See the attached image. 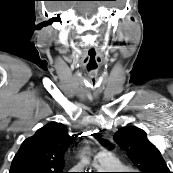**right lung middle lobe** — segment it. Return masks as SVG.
I'll use <instances>...</instances> for the list:
<instances>
[{
  "label": "right lung middle lobe",
  "instance_id": "right-lung-middle-lobe-1",
  "mask_svg": "<svg viewBox=\"0 0 173 173\" xmlns=\"http://www.w3.org/2000/svg\"><path fill=\"white\" fill-rule=\"evenodd\" d=\"M18 173H30V171H18Z\"/></svg>",
  "mask_w": 173,
  "mask_h": 173
}]
</instances>
